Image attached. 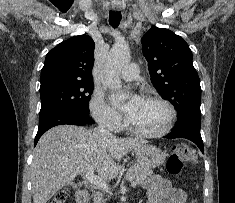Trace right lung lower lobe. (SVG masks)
Returning <instances> with one entry per match:
<instances>
[{
    "label": "right lung lower lobe",
    "mask_w": 235,
    "mask_h": 203,
    "mask_svg": "<svg viewBox=\"0 0 235 203\" xmlns=\"http://www.w3.org/2000/svg\"><path fill=\"white\" fill-rule=\"evenodd\" d=\"M94 120L87 114L72 110H62L50 113L44 117H39V128L35 137L34 146L37 144L39 138L48 129L57 125H89L93 124Z\"/></svg>",
    "instance_id": "right-lung-lower-lobe-1"
}]
</instances>
